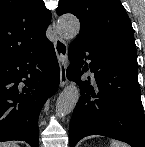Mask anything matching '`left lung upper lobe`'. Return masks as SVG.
Masks as SVG:
<instances>
[{
  "instance_id": "5c2ea615",
  "label": "left lung upper lobe",
  "mask_w": 145,
  "mask_h": 147,
  "mask_svg": "<svg viewBox=\"0 0 145 147\" xmlns=\"http://www.w3.org/2000/svg\"><path fill=\"white\" fill-rule=\"evenodd\" d=\"M56 12L71 13L79 19L76 39L136 49L131 21L119 0H59Z\"/></svg>"
}]
</instances>
